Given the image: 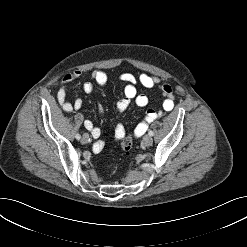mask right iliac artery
<instances>
[{
	"instance_id": "82829eb1",
	"label": "right iliac artery",
	"mask_w": 247,
	"mask_h": 247,
	"mask_svg": "<svg viewBox=\"0 0 247 247\" xmlns=\"http://www.w3.org/2000/svg\"><path fill=\"white\" fill-rule=\"evenodd\" d=\"M75 137H76V139H78V140L81 138L80 134H76Z\"/></svg>"
}]
</instances>
